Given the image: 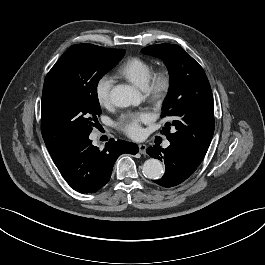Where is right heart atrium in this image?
<instances>
[{
	"instance_id": "1",
	"label": "right heart atrium",
	"mask_w": 265,
	"mask_h": 265,
	"mask_svg": "<svg viewBox=\"0 0 265 265\" xmlns=\"http://www.w3.org/2000/svg\"><path fill=\"white\" fill-rule=\"evenodd\" d=\"M113 79L109 75H101L95 83L94 93L98 104L107 107L111 104Z\"/></svg>"
}]
</instances>
